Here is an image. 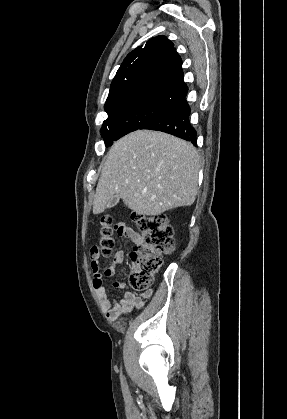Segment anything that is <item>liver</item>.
<instances>
[{
	"label": "liver",
	"instance_id": "liver-1",
	"mask_svg": "<svg viewBox=\"0 0 287 419\" xmlns=\"http://www.w3.org/2000/svg\"><path fill=\"white\" fill-rule=\"evenodd\" d=\"M199 155L189 142L172 135L137 130L118 140L102 163L93 214L113 197L141 215L155 216L194 203Z\"/></svg>",
	"mask_w": 287,
	"mask_h": 419
}]
</instances>
